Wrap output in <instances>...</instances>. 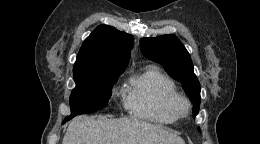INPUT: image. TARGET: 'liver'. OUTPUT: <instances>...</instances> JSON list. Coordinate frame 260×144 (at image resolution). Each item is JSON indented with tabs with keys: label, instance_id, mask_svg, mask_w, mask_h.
<instances>
[{
	"label": "liver",
	"instance_id": "liver-1",
	"mask_svg": "<svg viewBox=\"0 0 260 144\" xmlns=\"http://www.w3.org/2000/svg\"><path fill=\"white\" fill-rule=\"evenodd\" d=\"M63 144H185L168 129L141 119L78 116L64 135Z\"/></svg>",
	"mask_w": 260,
	"mask_h": 144
}]
</instances>
